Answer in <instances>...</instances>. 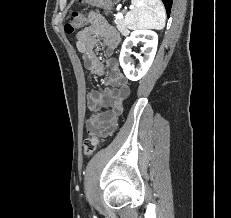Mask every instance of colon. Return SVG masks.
Wrapping results in <instances>:
<instances>
[{"instance_id": "obj_1", "label": "colon", "mask_w": 231, "mask_h": 218, "mask_svg": "<svg viewBox=\"0 0 231 218\" xmlns=\"http://www.w3.org/2000/svg\"><path fill=\"white\" fill-rule=\"evenodd\" d=\"M83 4H89L99 6L103 8L109 7V0H79ZM85 24V17L79 11H73L69 14L68 21L65 24L66 33H73L75 30L81 28ZM99 144V138L96 135H92L85 140L84 154L86 156L92 155Z\"/></svg>"}]
</instances>
